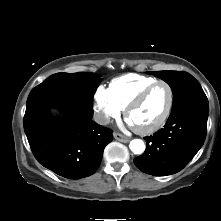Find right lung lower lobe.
I'll use <instances>...</instances> for the list:
<instances>
[{
	"mask_svg": "<svg viewBox=\"0 0 221 221\" xmlns=\"http://www.w3.org/2000/svg\"><path fill=\"white\" fill-rule=\"evenodd\" d=\"M51 106L62 110L61 118H51ZM92 116L54 100L26 107L24 130L38 162L68 179L95 173L113 135L111 130L95 123Z\"/></svg>",
	"mask_w": 221,
	"mask_h": 221,
	"instance_id": "right-lung-lower-lobe-1",
	"label": "right lung lower lobe"
}]
</instances>
